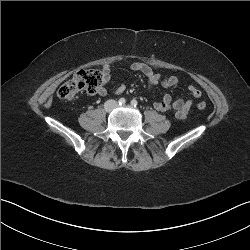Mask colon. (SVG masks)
I'll list each match as a JSON object with an SVG mask.
<instances>
[{
    "instance_id": "colon-1",
    "label": "colon",
    "mask_w": 250,
    "mask_h": 250,
    "mask_svg": "<svg viewBox=\"0 0 250 250\" xmlns=\"http://www.w3.org/2000/svg\"><path fill=\"white\" fill-rule=\"evenodd\" d=\"M102 83L103 76L100 71L80 70L59 88L57 94L60 99L70 101L79 93H95ZM197 107L200 110H204L206 103L200 102Z\"/></svg>"
}]
</instances>
